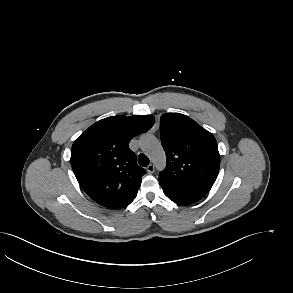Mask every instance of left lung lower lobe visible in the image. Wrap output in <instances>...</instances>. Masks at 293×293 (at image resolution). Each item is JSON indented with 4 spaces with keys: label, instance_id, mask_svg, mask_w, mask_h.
I'll return each instance as SVG.
<instances>
[{
    "label": "left lung lower lobe",
    "instance_id": "0a47b994",
    "mask_svg": "<svg viewBox=\"0 0 293 293\" xmlns=\"http://www.w3.org/2000/svg\"><path fill=\"white\" fill-rule=\"evenodd\" d=\"M163 191L169 199H171L172 201H174L175 203H178V204L187 205V204H192V203L200 200L199 198L188 196V195L174 194V193H170L165 190H163Z\"/></svg>",
    "mask_w": 293,
    "mask_h": 293
}]
</instances>
